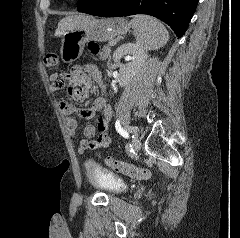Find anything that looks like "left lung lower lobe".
Masks as SVG:
<instances>
[{"label": "left lung lower lobe", "instance_id": "1", "mask_svg": "<svg viewBox=\"0 0 240 238\" xmlns=\"http://www.w3.org/2000/svg\"><path fill=\"white\" fill-rule=\"evenodd\" d=\"M197 4L198 0H98L82 12L100 17L148 14L163 20L181 38Z\"/></svg>", "mask_w": 240, "mask_h": 238}]
</instances>
